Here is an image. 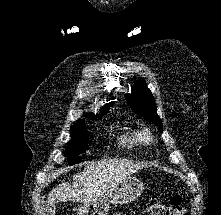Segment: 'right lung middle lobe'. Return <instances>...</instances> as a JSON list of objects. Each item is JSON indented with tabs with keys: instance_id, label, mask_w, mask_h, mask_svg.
<instances>
[{
	"instance_id": "1",
	"label": "right lung middle lobe",
	"mask_w": 221,
	"mask_h": 215,
	"mask_svg": "<svg viewBox=\"0 0 221 215\" xmlns=\"http://www.w3.org/2000/svg\"><path fill=\"white\" fill-rule=\"evenodd\" d=\"M78 126H72L71 131L73 132L71 134L72 140L68 143V152L74 153L78 152L80 149H83L88 140L86 139L85 134L83 132L86 131L85 125L81 122H77ZM71 161H69V164H76L81 162L80 158H77L76 156H73L71 158Z\"/></svg>"
}]
</instances>
